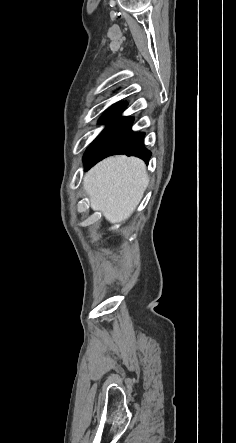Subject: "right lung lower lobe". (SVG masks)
Segmentation results:
<instances>
[{"label": "right lung lower lobe", "instance_id": "98d812e1", "mask_svg": "<svg viewBox=\"0 0 236 443\" xmlns=\"http://www.w3.org/2000/svg\"><path fill=\"white\" fill-rule=\"evenodd\" d=\"M126 106L124 102L115 104L99 119V123L106 124V127L84 154L85 170L114 154L137 156L148 163L151 152L144 147L145 134L131 130L132 117L121 116Z\"/></svg>", "mask_w": 236, "mask_h": 443}]
</instances>
